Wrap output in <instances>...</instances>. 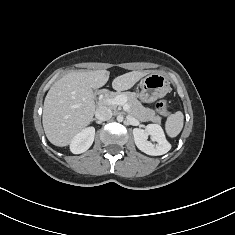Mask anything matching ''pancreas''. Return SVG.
<instances>
[{
  "mask_svg": "<svg viewBox=\"0 0 235 235\" xmlns=\"http://www.w3.org/2000/svg\"><path fill=\"white\" fill-rule=\"evenodd\" d=\"M118 95H123L127 99V103L130 107V114L137 118L138 120L145 122L151 121L154 123H160L161 117L156 115L155 111L145 108L136 98V95L132 92H123V93H111L108 95V98H115Z\"/></svg>",
  "mask_w": 235,
  "mask_h": 235,
  "instance_id": "cf45deb5",
  "label": "pancreas"
}]
</instances>
